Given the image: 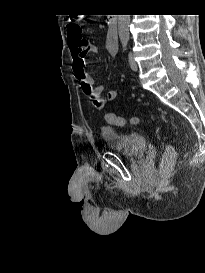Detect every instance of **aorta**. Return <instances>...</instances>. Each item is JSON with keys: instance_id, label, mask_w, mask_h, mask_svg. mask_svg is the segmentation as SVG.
<instances>
[{"instance_id": "aorta-1", "label": "aorta", "mask_w": 205, "mask_h": 273, "mask_svg": "<svg viewBox=\"0 0 205 273\" xmlns=\"http://www.w3.org/2000/svg\"><path fill=\"white\" fill-rule=\"evenodd\" d=\"M130 15H118V33L121 41L129 40Z\"/></svg>"}]
</instances>
